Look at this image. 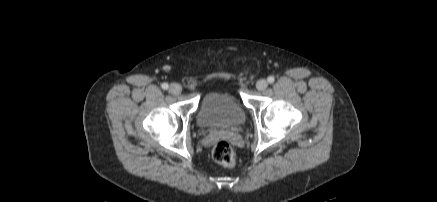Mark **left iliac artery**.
Listing matches in <instances>:
<instances>
[{
    "label": "left iliac artery",
    "instance_id": "44dca946",
    "mask_svg": "<svg viewBox=\"0 0 437 202\" xmlns=\"http://www.w3.org/2000/svg\"><path fill=\"white\" fill-rule=\"evenodd\" d=\"M267 80L269 83H273L275 81L273 76H269Z\"/></svg>",
    "mask_w": 437,
    "mask_h": 202
}]
</instances>
